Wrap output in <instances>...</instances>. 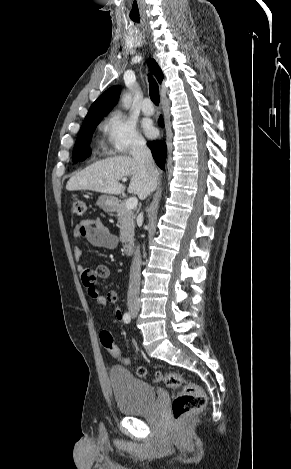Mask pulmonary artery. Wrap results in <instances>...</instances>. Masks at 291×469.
Instances as JSON below:
<instances>
[{"label":"pulmonary artery","instance_id":"e3ab8cb5","mask_svg":"<svg viewBox=\"0 0 291 469\" xmlns=\"http://www.w3.org/2000/svg\"><path fill=\"white\" fill-rule=\"evenodd\" d=\"M141 110L146 115H151L154 112L152 102L149 98H145L141 104Z\"/></svg>","mask_w":291,"mask_h":469}]
</instances>
